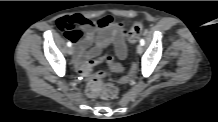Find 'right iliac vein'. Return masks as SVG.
Returning <instances> with one entry per match:
<instances>
[{
    "instance_id": "obj_1",
    "label": "right iliac vein",
    "mask_w": 218,
    "mask_h": 122,
    "mask_svg": "<svg viewBox=\"0 0 218 122\" xmlns=\"http://www.w3.org/2000/svg\"><path fill=\"white\" fill-rule=\"evenodd\" d=\"M67 53L69 55H72L74 53V48L73 47H69L68 50H67Z\"/></svg>"
}]
</instances>
